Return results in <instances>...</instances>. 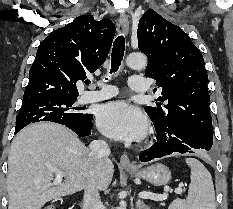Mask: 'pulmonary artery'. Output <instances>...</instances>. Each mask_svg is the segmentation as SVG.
<instances>
[{
	"label": "pulmonary artery",
	"instance_id": "obj_1",
	"mask_svg": "<svg viewBox=\"0 0 233 209\" xmlns=\"http://www.w3.org/2000/svg\"><path fill=\"white\" fill-rule=\"evenodd\" d=\"M94 85L99 89L84 92L81 96V101L83 103L101 101L117 94V89L114 86L107 85L100 81H95ZM129 86L135 92H146L148 90L147 79L138 75L130 77Z\"/></svg>",
	"mask_w": 233,
	"mask_h": 209
}]
</instances>
